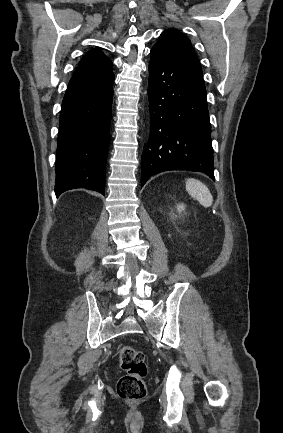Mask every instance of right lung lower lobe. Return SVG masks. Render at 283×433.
<instances>
[{
    "instance_id": "1",
    "label": "right lung lower lobe",
    "mask_w": 283,
    "mask_h": 433,
    "mask_svg": "<svg viewBox=\"0 0 283 433\" xmlns=\"http://www.w3.org/2000/svg\"><path fill=\"white\" fill-rule=\"evenodd\" d=\"M114 75L68 86L60 114L55 193L87 188L105 193Z\"/></svg>"
}]
</instances>
